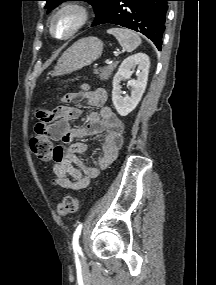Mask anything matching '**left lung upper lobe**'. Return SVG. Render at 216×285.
<instances>
[{
	"mask_svg": "<svg viewBox=\"0 0 216 285\" xmlns=\"http://www.w3.org/2000/svg\"><path fill=\"white\" fill-rule=\"evenodd\" d=\"M44 1L47 2L45 9H48L49 12L54 7L58 6L61 2L72 1V0H44ZM79 1L89 2L93 6L96 13V18L94 22L98 21L104 16V14L108 11L113 2V0H79Z\"/></svg>",
	"mask_w": 216,
	"mask_h": 285,
	"instance_id": "obj_1",
	"label": "left lung upper lobe"
}]
</instances>
